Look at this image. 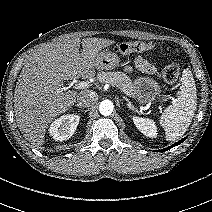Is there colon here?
I'll return each mask as SVG.
<instances>
[{"mask_svg":"<svg viewBox=\"0 0 212 212\" xmlns=\"http://www.w3.org/2000/svg\"><path fill=\"white\" fill-rule=\"evenodd\" d=\"M153 48V43L144 41L122 42L116 48L122 54L145 53ZM180 74L179 65L176 62L168 63L162 71V78L168 84H174Z\"/></svg>","mask_w":212,"mask_h":212,"instance_id":"5ec220e1","label":"colon"}]
</instances>
